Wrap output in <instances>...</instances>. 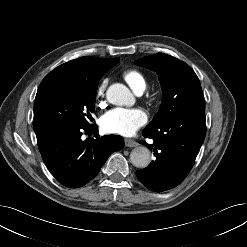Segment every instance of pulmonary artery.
I'll return each mask as SVG.
<instances>
[{
  "instance_id": "obj_1",
  "label": "pulmonary artery",
  "mask_w": 247,
  "mask_h": 247,
  "mask_svg": "<svg viewBox=\"0 0 247 247\" xmlns=\"http://www.w3.org/2000/svg\"><path fill=\"white\" fill-rule=\"evenodd\" d=\"M138 95H140L141 93H142V91H138V92H136Z\"/></svg>"
}]
</instances>
